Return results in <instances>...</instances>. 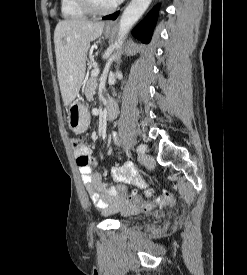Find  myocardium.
Here are the masks:
<instances>
[{
  "label": "myocardium",
  "instance_id": "1",
  "mask_svg": "<svg viewBox=\"0 0 247 275\" xmlns=\"http://www.w3.org/2000/svg\"><path fill=\"white\" fill-rule=\"evenodd\" d=\"M76 1L82 9H84L87 13L92 15L109 14L113 12L118 6V3H115L113 6L109 8H99L95 5L93 0H76Z\"/></svg>",
  "mask_w": 247,
  "mask_h": 275
}]
</instances>
